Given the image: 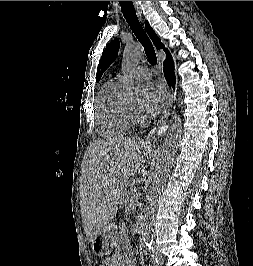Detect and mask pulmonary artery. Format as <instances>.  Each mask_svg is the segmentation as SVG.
Returning <instances> with one entry per match:
<instances>
[{
  "label": "pulmonary artery",
  "mask_w": 253,
  "mask_h": 266,
  "mask_svg": "<svg viewBox=\"0 0 253 266\" xmlns=\"http://www.w3.org/2000/svg\"><path fill=\"white\" fill-rule=\"evenodd\" d=\"M132 74L142 80H148L152 76L151 70L146 66H138L133 70Z\"/></svg>",
  "instance_id": "obj_1"
}]
</instances>
